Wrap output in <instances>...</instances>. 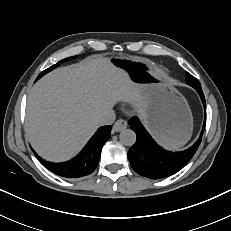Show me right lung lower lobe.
Masks as SVG:
<instances>
[{
	"label": "right lung lower lobe",
	"mask_w": 231,
	"mask_h": 231,
	"mask_svg": "<svg viewBox=\"0 0 231 231\" xmlns=\"http://www.w3.org/2000/svg\"><path fill=\"white\" fill-rule=\"evenodd\" d=\"M111 126L100 127L88 141L84 149L72 160L64 163H51L40 158L38 160L51 172L65 178H79L92 173L98 165L101 149L110 138Z\"/></svg>",
	"instance_id": "1"
}]
</instances>
